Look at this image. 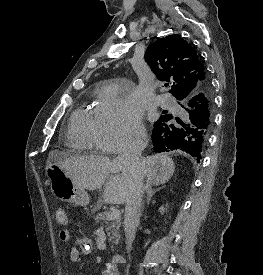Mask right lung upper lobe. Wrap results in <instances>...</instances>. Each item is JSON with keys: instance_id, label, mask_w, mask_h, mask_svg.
<instances>
[{"instance_id": "right-lung-upper-lobe-1", "label": "right lung upper lobe", "mask_w": 263, "mask_h": 275, "mask_svg": "<svg viewBox=\"0 0 263 275\" xmlns=\"http://www.w3.org/2000/svg\"><path fill=\"white\" fill-rule=\"evenodd\" d=\"M145 59L160 81L172 82L176 99L197 92L208 80L205 68L194 47L181 36L169 35L150 44ZM213 122V100L210 102L209 124Z\"/></svg>"}]
</instances>
